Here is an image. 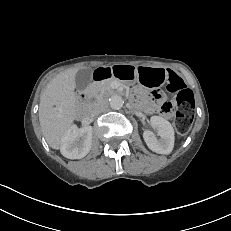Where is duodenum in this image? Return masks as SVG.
<instances>
[{"mask_svg": "<svg viewBox=\"0 0 231 231\" xmlns=\"http://www.w3.org/2000/svg\"><path fill=\"white\" fill-rule=\"evenodd\" d=\"M80 96L82 100L87 101L90 97V93L88 91H83Z\"/></svg>", "mask_w": 231, "mask_h": 231, "instance_id": "obj_1", "label": "duodenum"}]
</instances>
